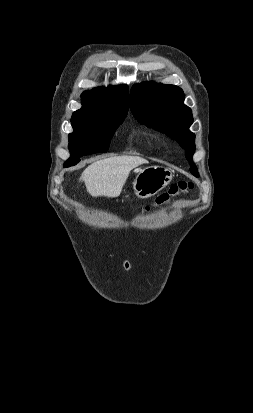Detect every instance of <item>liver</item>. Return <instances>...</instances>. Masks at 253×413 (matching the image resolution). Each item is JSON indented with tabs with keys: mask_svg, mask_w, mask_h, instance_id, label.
<instances>
[{
	"mask_svg": "<svg viewBox=\"0 0 253 413\" xmlns=\"http://www.w3.org/2000/svg\"><path fill=\"white\" fill-rule=\"evenodd\" d=\"M138 156H115L97 160L90 164L80 177L92 197L114 198L120 195L132 169L147 164Z\"/></svg>",
	"mask_w": 253,
	"mask_h": 413,
	"instance_id": "obj_1",
	"label": "liver"
}]
</instances>
